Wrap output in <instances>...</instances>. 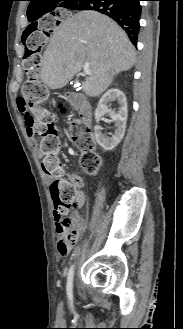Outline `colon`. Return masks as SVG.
Returning <instances> with one entry per match:
<instances>
[{"label": "colon", "instance_id": "obj_1", "mask_svg": "<svg viewBox=\"0 0 183 329\" xmlns=\"http://www.w3.org/2000/svg\"><path fill=\"white\" fill-rule=\"evenodd\" d=\"M63 21H71V14H42L41 19H34V25H27L26 31L20 32L23 38L22 67L27 79L22 86L23 96H17L18 113L30 114L29 126L33 136L39 139L43 155L42 167L46 175L53 178L50 190L54 203V215L60 221L68 244H74L77 229L69 218L68 211L77 207V184L65 177V172L59 160L60 142L53 114L39 106L43 96V86L38 81L41 66L40 50L51 38L52 32H57V26H63ZM72 135L81 149L80 165L87 174H94L100 164L99 157L93 151V136L86 125L75 121Z\"/></svg>", "mask_w": 183, "mask_h": 329}]
</instances>
